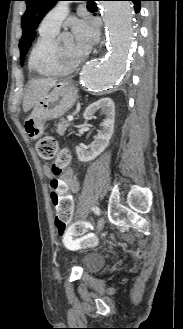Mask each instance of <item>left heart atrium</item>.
<instances>
[{
    "mask_svg": "<svg viewBox=\"0 0 183 329\" xmlns=\"http://www.w3.org/2000/svg\"><path fill=\"white\" fill-rule=\"evenodd\" d=\"M74 44L77 50L88 53L98 38V29L89 19L76 20L72 24Z\"/></svg>",
    "mask_w": 183,
    "mask_h": 329,
    "instance_id": "1",
    "label": "left heart atrium"
}]
</instances>
